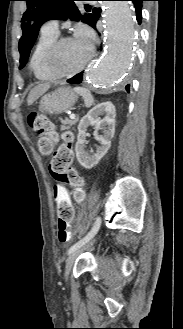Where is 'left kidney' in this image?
<instances>
[{"instance_id":"left-kidney-1","label":"left kidney","mask_w":183,"mask_h":329,"mask_svg":"<svg viewBox=\"0 0 183 329\" xmlns=\"http://www.w3.org/2000/svg\"><path fill=\"white\" fill-rule=\"evenodd\" d=\"M100 115H105L100 119ZM115 106L111 102H104L93 107L81 120L78 125V136L75 145L76 157L78 162L86 169L94 167L101 158L107 153L111 145V139L115 133ZM89 125H95V139L100 142L96 153L89 155L84 151L86 130ZM104 126V128H101ZM103 129V135L98 134V130Z\"/></svg>"}]
</instances>
